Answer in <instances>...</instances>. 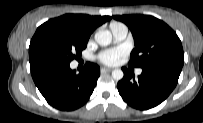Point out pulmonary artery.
Wrapping results in <instances>:
<instances>
[{"mask_svg":"<svg viewBox=\"0 0 203 123\" xmlns=\"http://www.w3.org/2000/svg\"><path fill=\"white\" fill-rule=\"evenodd\" d=\"M110 28L113 37L117 42L124 40L128 34V28L123 23H112ZM141 72H142L141 69L136 70L137 75H140Z\"/></svg>","mask_w":203,"mask_h":123,"instance_id":"1","label":"pulmonary artery"}]
</instances>
